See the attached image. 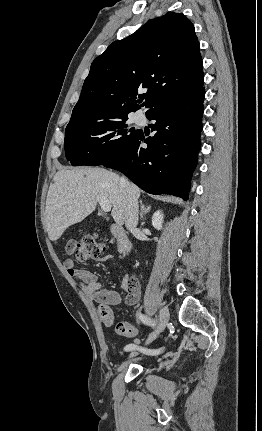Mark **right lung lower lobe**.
I'll list each match as a JSON object with an SVG mask.
<instances>
[{
  "mask_svg": "<svg viewBox=\"0 0 262 431\" xmlns=\"http://www.w3.org/2000/svg\"><path fill=\"white\" fill-rule=\"evenodd\" d=\"M204 95L201 87L193 96L146 115L156 120L155 135L146 138L139 132L118 156L102 165L123 172L148 193L187 200L200 149ZM143 143L148 147L143 148Z\"/></svg>",
  "mask_w": 262,
  "mask_h": 431,
  "instance_id": "right-lung-lower-lobe-1",
  "label": "right lung lower lobe"
}]
</instances>
